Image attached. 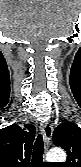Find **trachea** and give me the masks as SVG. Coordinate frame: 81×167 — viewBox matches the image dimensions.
Listing matches in <instances>:
<instances>
[{
	"label": "trachea",
	"mask_w": 81,
	"mask_h": 167,
	"mask_svg": "<svg viewBox=\"0 0 81 167\" xmlns=\"http://www.w3.org/2000/svg\"><path fill=\"white\" fill-rule=\"evenodd\" d=\"M43 153H44L43 136L39 134L34 144V149L32 153V162H35V163L42 162Z\"/></svg>",
	"instance_id": "1"
}]
</instances>
